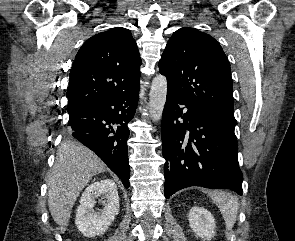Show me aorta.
Returning <instances> with one entry per match:
<instances>
[{
  "label": "aorta",
  "instance_id": "762f6f07",
  "mask_svg": "<svg viewBox=\"0 0 295 241\" xmlns=\"http://www.w3.org/2000/svg\"><path fill=\"white\" fill-rule=\"evenodd\" d=\"M167 95V78L157 75L151 84L149 95V111L154 122L161 119Z\"/></svg>",
  "mask_w": 295,
  "mask_h": 241
}]
</instances>
